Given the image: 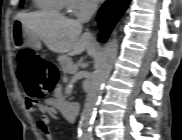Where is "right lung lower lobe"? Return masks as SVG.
I'll use <instances>...</instances> for the list:
<instances>
[{"mask_svg": "<svg viewBox=\"0 0 182 140\" xmlns=\"http://www.w3.org/2000/svg\"><path fill=\"white\" fill-rule=\"evenodd\" d=\"M130 0H107L100 8L97 22L101 29L99 41L106 42L112 28L125 12Z\"/></svg>", "mask_w": 182, "mask_h": 140, "instance_id": "1", "label": "right lung lower lobe"}]
</instances>
